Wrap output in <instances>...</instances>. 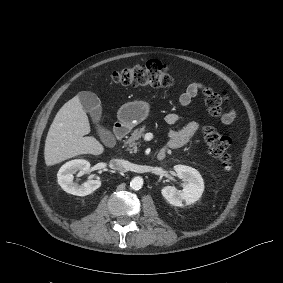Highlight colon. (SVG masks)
<instances>
[{"label": "colon", "instance_id": "5ec220e1", "mask_svg": "<svg viewBox=\"0 0 283 283\" xmlns=\"http://www.w3.org/2000/svg\"><path fill=\"white\" fill-rule=\"evenodd\" d=\"M111 80L120 85L135 87H169L175 79L169 69L157 60H150L142 65H134L114 71ZM208 112L212 117L221 114L228 95L224 91L206 89L204 92ZM203 140L210 154L217 158L223 170L233 166V156L229 151L230 138L220 133L212 125L203 128Z\"/></svg>", "mask_w": 283, "mask_h": 283}]
</instances>
